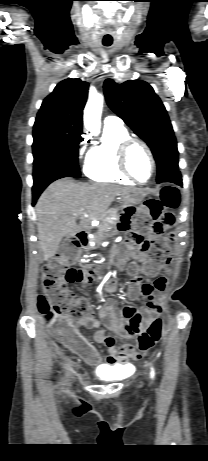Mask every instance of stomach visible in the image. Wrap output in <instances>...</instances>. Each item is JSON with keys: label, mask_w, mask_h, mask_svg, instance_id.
<instances>
[{"label": "stomach", "mask_w": 208, "mask_h": 461, "mask_svg": "<svg viewBox=\"0 0 208 461\" xmlns=\"http://www.w3.org/2000/svg\"><path fill=\"white\" fill-rule=\"evenodd\" d=\"M145 195L146 192L143 190L122 194V208L125 204H134V206L140 204Z\"/></svg>", "instance_id": "1"}]
</instances>
